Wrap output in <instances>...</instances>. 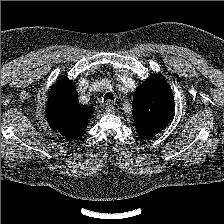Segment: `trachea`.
<instances>
[{
    "instance_id": "1",
    "label": "trachea",
    "mask_w": 224,
    "mask_h": 224,
    "mask_svg": "<svg viewBox=\"0 0 224 224\" xmlns=\"http://www.w3.org/2000/svg\"><path fill=\"white\" fill-rule=\"evenodd\" d=\"M106 100H114L113 94L110 93V92L106 93L105 96H104V102Z\"/></svg>"
}]
</instances>
